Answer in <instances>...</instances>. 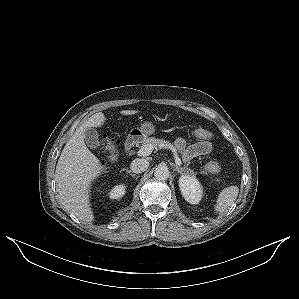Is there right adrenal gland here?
I'll use <instances>...</instances> for the list:
<instances>
[{"instance_id": "obj_1", "label": "right adrenal gland", "mask_w": 299, "mask_h": 299, "mask_svg": "<svg viewBox=\"0 0 299 299\" xmlns=\"http://www.w3.org/2000/svg\"><path fill=\"white\" fill-rule=\"evenodd\" d=\"M125 171L132 177H134V178L136 177V174L132 173L131 170L125 169Z\"/></svg>"}]
</instances>
